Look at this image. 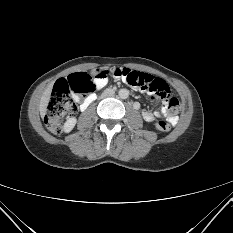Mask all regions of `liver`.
I'll use <instances>...</instances> for the list:
<instances>
[{"label":"liver","mask_w":233,"mask_h":233,"mask_svg":"<svg viewBox=\"0 0 233 233\" xmlns=\"http://www.w3.org/2000/svg\"><path fill=\"white\" fill-rule=\"evenodd\" d=\"M52 87H53V83L49 84L46 90L43 92V95L40 99L39 111L41 117H44L47 112V106L50 101Z\"/></svg>","instance_id":"liver-1"}]
</instances>
